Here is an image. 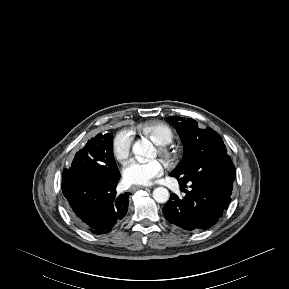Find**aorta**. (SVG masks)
I'll list each match as a JSON object with an SVG mask.
<instances>
[{"label": "aorta", "mask_w": 289, "mask_h": 289, "mask_svg": "<svg viewBox=\"0 0 289 289\" xmlns=\"http://www.w3.org/2000/svg\"><path fill=\"white\" fill-rule=\"evenodd\" d=\"M135 156L149 159L153 157V145L147 140L137 141L132 148ZM153 198L158 203H165L169 199V191L164 187H157L153 191Z\"/></svg>", "instance_id": "obj_1"}]
</instances>
